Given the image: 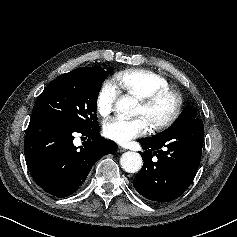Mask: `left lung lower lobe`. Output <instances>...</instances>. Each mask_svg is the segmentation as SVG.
<instances>
[{"label":"left lung lower lobe","instance_id":"1","mask_svg":"<svg viewBox=\"0 0 237 237\" xmlns=\"http://www.w3.org/2000/svg\"><path fill=\"white\" fill-rule=\"evenodd\" d=\"M204 125L199 118L188 121L159 140L139 139L143 167L133 186L143 197L170 202L182 195L193 181L201 161ZM156 156V159H153Z\"/></svg>","mask_w":237,"mask_h":237}]
</instances>
